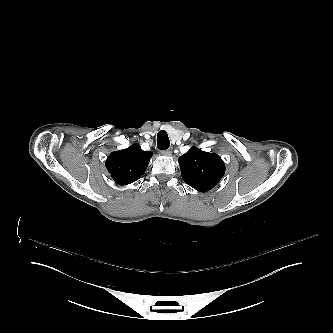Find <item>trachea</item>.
I'll return each instance as SVG.
<instances>
[{"label": "trachea", "mask_w": 333, "mask_h": 333, "mask_svg": "<svg viewBox=\"0 0 333 333\" xmlns=\"http://www.w3.org/2000/svg\"><path fill=\"white\" fill-rule=\"evenodd\" d=\"M170 146L169 137L165 130H160L157 134V147L160 150H166Z\"/></svg>", "instance_id": "trachea-1"}]
</instances>
